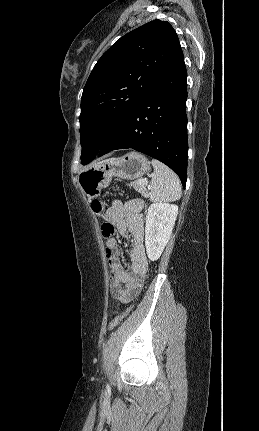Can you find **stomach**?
I'll list each match as a JSON object with an SVG mask.
<instances>
[{
  "label": "stomach",
  "mask_w": 259,
  "mask_h": 431,
  "mask_svg": "<svg viewBox=\"0 0 259 431\" xmlns=\"http://www.w3.org/2000/svg\"><path fill=\"white\" fill-rule=\"evenodd\" d=\"M150 170L148 159L138 153L130 152L120 158H112L92 167L81 170L78 184L90 199L100 196L101 190L109 185L113 177L134 180Z\"/></svg>",
  "instance_id": "0dacf381"
}]
</instances>
